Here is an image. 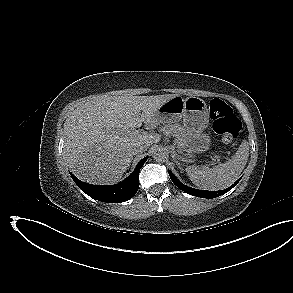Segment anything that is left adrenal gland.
Returning <instances> with one entry per match:
<instances>
[{"label":"left adrenal gland","instance_id":"obj_1","mask_svg":"<svg viewBox=\"0 0 293 293\" xmlns=\"http://www.w3.org/2000/svg\"><path fill=\"white\" fill-rule=\"evenodd\" d=\"M172 157H173L174 161L176 162V164L178 165V167L181 169L180 163L177 161V154L175 152L172 153Z\"/></svg>","mask_w":293,"mask_h":293}]
</instances>
